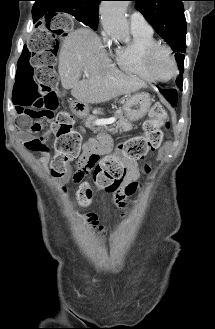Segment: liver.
<instances>
[{"label":"liver","mask_w":215,"mask_h":329,"mask_svg":"<svg viewBox=\"0 0 215 329\" xmlns=\"http://www.w3.org/2000/svg\"><path fill=\"white\" fill-rule=\"evenodd\" d=\"M88 76L80 79L81 71ZM58 72L64 89L82 103H101L120 95H130L147 84L119 71L106 55L100 38L91 30L80 28L64 39Z\"/></svg>","instance_id":"6515ba94"}]
</instances>
